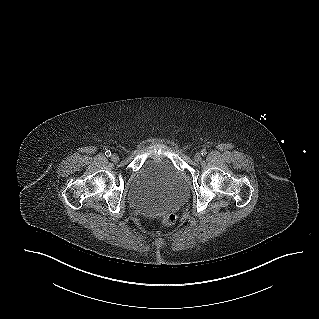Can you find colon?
Instances as JSON below:
<instances>
[{
  "mask_svg": "<svg viewBox=\"0 0 319 319\" xmlns=\"http://www.w3.org/2000/svg\"><path fill=\"white\" fill-rule=\"evenodd\" d=\"M161 220L165 226H171V225H174L176 223L177 216L175 213L170 212V213H167L165 215H162Z\"/></svg>",
  "mask_w": 319,
  "mask_h": 319,
  "instance_id": "obj_1",
  "label": "colon"
}]
</instances>
